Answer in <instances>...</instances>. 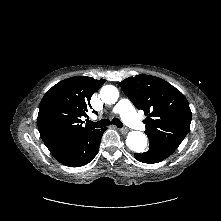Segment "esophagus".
Instances as JSON below:
<instances>
[{
  "mask_svg": "<svg viewBox=\"0 0 221 221\" xmlns=\"http://www.w3.org/2000/svg\"><path fill=\"white\" fill-rule=\"evenodd\" d=\"M120 132L126 134L129 130L127 128H119Z\"/></svg>",
  "mask_w": 221,
  "mask_h": 221,
  "instance_id": "1",
  "label": "esophagus"
}]
</instances>
